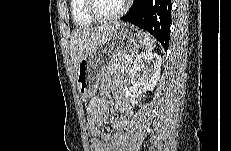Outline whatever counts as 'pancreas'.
<instances>
[{"mask_svg": "<svg viewBox=\"0 0 231 151\" xmlns=\"http://www.w3.org/2000/svg\"><path fill=\"white\" fill-rule=\"evenodd\" d=\"M125 54L116 57L106 68L105 74H112L118 71L128 72L131 66V60L125 58Z\"/></svg>", "mask_w": 231, "mask_h": 151, "instance_id": "obj_1", "label": "pancreas"}]
</instances>
